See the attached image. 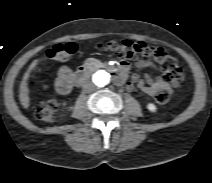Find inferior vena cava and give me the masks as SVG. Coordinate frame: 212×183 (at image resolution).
<instances>
[{"label": "inferior vena cava", "instance_id": "inferior-vena-cava-1", "mask_svg": "<svg viewBox=\"0 0 212 183\" xmlns=\"http://www.w3.org/2000/svg\"><path fill=\"white\" fill-rule=\"evenodd\" d=\"M95 89H96L95 86L90 82H87L83 85V91L85 93H91V92L95 91Z\"/></svg>", "mask_w": 212, "mask_h": 183}]
</instances>
